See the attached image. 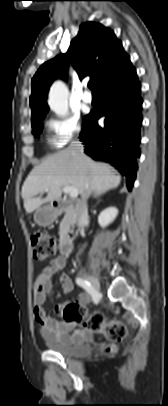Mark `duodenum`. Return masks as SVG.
Instances as JSON below:
<instances>
[{
    "instance_id": "obj_1",
    "label": "duodenum",
    "mask_w": 168,
    "mask_h": 406,
    "mask_svg": "<svg viewBox=\"0 0 168 406\" xmlns=\"http://www.w3.org/2000/svg\"><path fill=\"white\" fill-rule=\"evenodd\" d=\"M52 207L57 213L68 212L72 215L77 213L78 207L75 202L67 200H54ZM73 250V236L70 232H66L60 239V251L63 256H69Z\"/></svg>"
}]
</instances>
